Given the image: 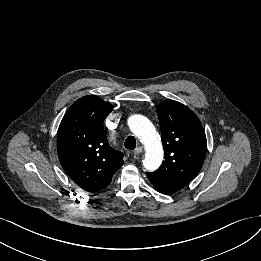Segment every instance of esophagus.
Listing matches in <instances>:
<instances>
[{
  "label": "esophagus",
  "mask_w": 261,
  "mask_h": 261,
  "mask_svg": "<svg viewBox=\"0 0 261 261\" xmlns=\"http://www.w3.org/2000/svg\"><path fill=\"white\" fill-rule=\"evenodd\" d=\"M143 151V148L141 146H138L137 148L134 149L133 153L135 155L140 154Z\"/></svg>",
  "instance_id": "esophagus-1"
}]
</instances>
